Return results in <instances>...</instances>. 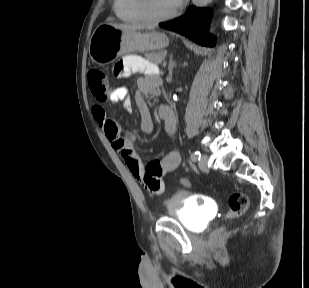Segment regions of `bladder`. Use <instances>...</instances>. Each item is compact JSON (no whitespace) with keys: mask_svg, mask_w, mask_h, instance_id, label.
<instances>
[{"mask_svg":"<svg viewBox=\"0 0 309 288\" xmlns=\"http://www.w3.org/2000/svg\"><path fill=\"white\" fill-rule=\"evenodd\" d=\"M169 216L175 217L187 229L201 232L214 213V205L205 197L191 196L184 191L175 192L164 202Z\"/></svg>","mask_w":309,"mask_h":288,"instance_id":"31cf9c89","label":"bladder"}]
</instances>
